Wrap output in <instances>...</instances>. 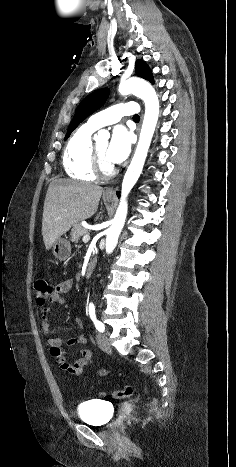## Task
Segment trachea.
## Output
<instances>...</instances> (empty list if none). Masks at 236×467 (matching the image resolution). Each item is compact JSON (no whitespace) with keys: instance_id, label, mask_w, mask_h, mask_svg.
<instances>
[{"instance_id":"3493384b","label":"trachea","mask_w":236,"mask_h":467,"mask_svg":"<svg viewBox=\"0 0 236 467\" xmlns=\"http://www.w3.org/2000/svg\"><path fill=\"white\" fill-rule=\"evenodd\" d=\"M133 120L134 121H139L140 120V116L138 114L134 115L133 116Z\"/></svg>"}]
</instances>
